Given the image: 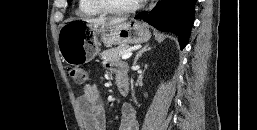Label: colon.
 I'll list each match as a JSON object with an SVG mask.
<instances>
[{
	"instance_id": "colon-1",
	"label": "colon",
	"mask_w": 257,
	"mask_h": 130,
	"mask_svg": "<svg viewBox=\"0 0 257 130\" xmlns=\"http://www.w3.org/2000/svg\"><path fill=\"white\" fill-rule=\"evenodd\" d=\"M68 73L77 84H82L87 80V72L83 68L70 66L68 67Z\"/></svg>"
}]
</instances>
